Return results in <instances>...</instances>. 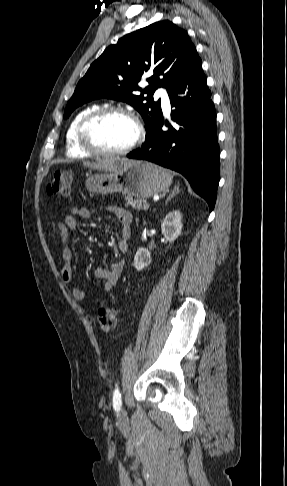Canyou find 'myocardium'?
<instances>
[{
	"label": "myocardium",
	"instance_id": "myocardium-1",
	"mask_svg": "<svg viewBox=\"0 0 287 486\" xmlns=\"http://www.w3.org/2000/svg\"><path fill=\"white\" fill-rule=\"evenodd\" d=\"M111 114H120L127 117L134 125L135 136L127 146L114 151H105L97 148L92 144L89 138V130L96 121ZM142 139L143 127L140 120L132 111L122 106H107L97 108L82 119L77 130V140L79 146L89 155L103 158H112L127 155L141 143Z\"/></svg>",
	"mask_w": 287,
	"mask_h": 486
}]
</instances>
